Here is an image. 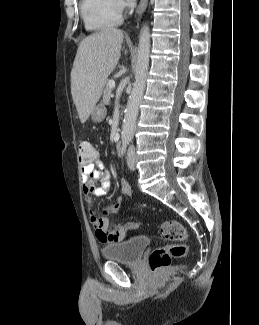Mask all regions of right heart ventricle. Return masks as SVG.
Returning a JSON list of instances; mask_svg holds the SVG:
<instances>
[{
	"label": "right heart ventricle",
	"mask_w": 259,
	"mask_h": 325,
	"mask_svg": "<svg viewBox=\"0 0 259 325\" xmlns=\"http://www.w3.org/2000/svg\"><path fill=\"white\" fill-rule=\"evenodd\" d=\"M80 14L89 31H102L121 23V14L113 0H81Z\"/></svg>",
	"instance_id": "e07e8e85"
}]
</instances>
